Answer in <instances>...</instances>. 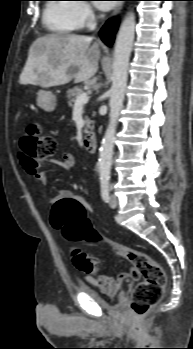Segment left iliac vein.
Segmentation results:
<instances>
[{"label": "left iliac vein", "instance_id": "1", "mask_svg": "<svg viewBox=\"0 0 193 349\" xmlns=\"http://www.w3.org/2000/svg\"><path fill=\"white\" fill-rule=\"evenodd\" d=\"M117 204H118L117 197L115 195H111L109 200L110 207L115 208L117 207Z\"/></svg>", "mask_w": 193, "mask_h": 349}]
</instances>
